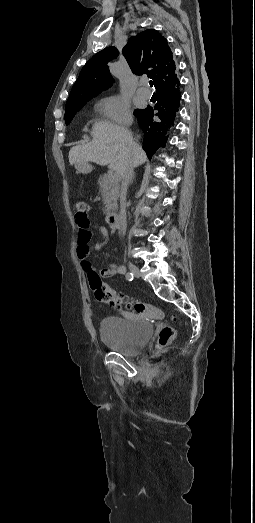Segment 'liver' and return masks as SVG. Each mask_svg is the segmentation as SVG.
I'll list each match as a JSON object with an SVG mask.
<instances>
[{"label": "liver", "mask_w": 255, "mask_h": 523, "mask_svg": "<svg viewBox=\"0 0 255 523\" xmlns=\"http://www.w3.org/2000/svg\"><path fill=\"white\" fill-rule=\"evenodd\" d=\"M90 134L91 142L83 146H74L69 152V162L71 166L75 164L78 172H91L92 168L88 162H95L121 174L128 156H131L135 168L147 160L144 150L134 142L133 134L127 128L104 120L95 122Z\"/></svg>", "instance_id": "obj_1"}]
</instances>
